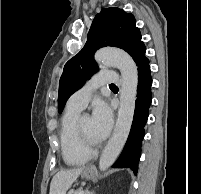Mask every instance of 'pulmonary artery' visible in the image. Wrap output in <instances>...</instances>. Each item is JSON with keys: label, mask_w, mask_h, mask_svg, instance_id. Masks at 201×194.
Masks as SVG:
<instances>
[{"label": "pulmonary artery", "mask_w": 201, "mask_h": 194, "mask_svg": "<svg viewBox=\"0 0 201 194\" xmlns=\"http://www.w3.org/2000/svg\"><path fill=\"white\" fill-rule=\"evenodd\" d=\"M119 76L114 71H102L94 75L86 84L69 98L67 105L82 110L86 107L92 93L99 86L116 83Z\"/></svg>", "instance_id": "1"}]
</instances>
